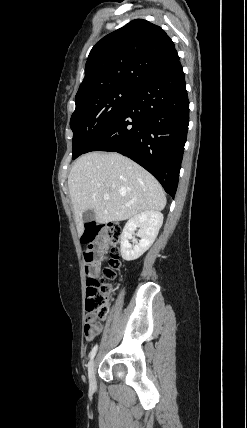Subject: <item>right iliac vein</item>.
I'll return each mask as SVG.
<instances>
[{"label": "right iliac vein", "instance_id": "right-iliac-vein-1", "mask_svg": "<svg viewBox=\"0 0 247 428\" xmlns=\"http://www.w3.org/2000/svg\"><path fill=\"white\" fill-rule=\"evenodd\" d=\"M88 377H89L90 385L94 388L96 385V382H95V361L94 360H92L90 362V365L88 368Z\"/></svg>", "mask_w": 247, "mask_h": 428}]
</instances>
